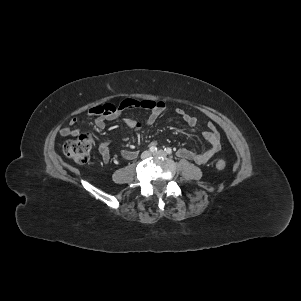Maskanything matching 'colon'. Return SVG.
I'll list each match as a JSON object with an SVG mask.
<instances>
[{
  "label": "colon",
  "instance_id": "1",
  "mask_svg": "<svg viewBox=\"0 0 301 301\" xmlns=\"http://www.w3.org/2000/svg\"><path fill=\"white\" fill-rule=\"evenodd\" d=\"M114 109L115 106L111 104H105L103 107V111L105 112H110ZM91 149L92 138L86 133L80 134L76 138L66 141L63 145L65 155L82 164L89 161ZM216 168L224 170L226 168V162L224 160H218L216 162Z\"/></svg>",
  "mask_w": 301,
  "mask_h": 301
}]
</instances>
